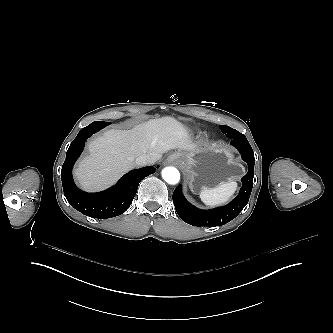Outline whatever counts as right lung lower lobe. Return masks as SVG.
Segmentation results:
<instances>
[{"label":"right lung lower lobe","instance_id":"1","mask_svg":"<svg viewBox=\"0 0 333 333\" xmlns=\"http://www.w3.org/2000/svg\"><path fill=\"white\" fill-rule=\"evenodd\" d=\"M110 122L95 121L82 128L71 142L61 170L63 191L68 202L84 215L95 218H111L124 213L131 205L142 179L155 172L154 167H144L125 174L116 185L99 193L79 190L73 181L72 168L83 151L85 141Z\"/></svg>","mask_w":333,"mask_h":333}]
</instances>
